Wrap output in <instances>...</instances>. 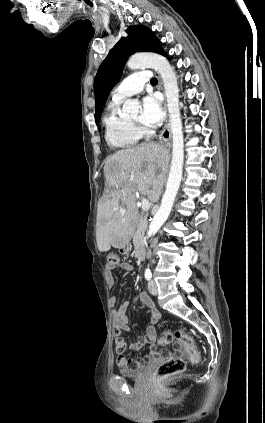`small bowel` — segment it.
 <instances>
[{"mask_svg":"<svg viewBox=\"0 0 265 423\" xmlns=\"http://www.w3.org/2000/svg\"><path fill=\"white\" fill-rule=\"evenodd\" d=\"M116 267H120L125 271H131L133 269L132 265L126 262H120L117 265H110L107 264L106 267V277L108 281V285L112 287L114 285V279L112 277V270ZM136 299L140 300L147 310V317L149 320V325L146 327L145 335L139 337L131 346L130 348L133 351L139 350L144 345H149L148 351L145 353L144 358L141 360H131L124 356V352L126 349V343L123 338L119 337L120 334L124 332H128L130 330L128 324V318L126 312L130 306V302L125 301L121 303L119 306L113 309V326L115 328L116 335L118 336L115 341L116 349L119 356V363H124L126 361H132L137 367L142 366L147 359L154 358L157 354L155 348V340H156V328L155 325L157 324L160 313L155 308L152 300L143 292H139L136 296ZM110 303L112 306L117 305V298L115 296L111 297ZM122 365V364H121Z\"/></svg>","mask_w":265,"mask_h":423,"instance_id":"obj_1","label":"small bowel"}]
</instances>
